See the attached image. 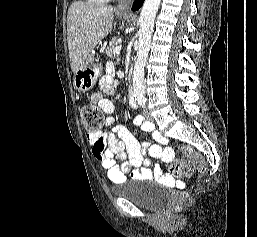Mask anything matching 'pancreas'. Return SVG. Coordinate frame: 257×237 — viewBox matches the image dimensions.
Wrapping results in <instances>:
<instances>
[{
  "label": "pancreas",
  "mask_w": 257,
  "mask_h": 237,
  "mask_svg": "<svg viewBox=\"0 0 257 237\" xmlns=\"http://www.w3.org/2000/svg\"><path fill=\"white\" fill-rule=\"evenodd\" d=\"M119 45V42L117 39L113 38L110 43L109 46L106 48V54L108 56H115V48Z\"/></svg>",
  "instance_id": "1"
}]
</instances>
